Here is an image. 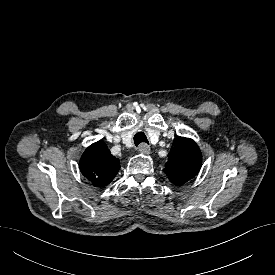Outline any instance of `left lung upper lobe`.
<instances>
[{"label":"left lung upper lobe","instance_id":"5c2ea615","mask_svg":"<svg viewBox=\"0 0 275 275\" xmlns=\"http://www.w3.org/2000/svg\"><path fill=\"white\" fill-rule=\"evenodd\" d=\"M172 145L164 172L172 183L181 186L198 174L202 154L198 145L189 138L178 136Z\"/></svg>","mask_w":275,"mask_h":275}]
</instances>
